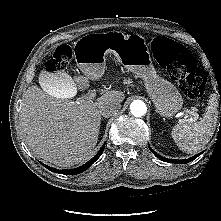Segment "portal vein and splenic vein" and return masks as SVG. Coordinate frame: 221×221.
<instances>
[{"label":"portal vein and splenic vein","mask_w":221,"mask_h":221,"mask_svg":"<svg viewBox=\"0 0 221 221\" xmlns=\"http://www.w3.org/2000/svg\"><path fill=\"white\" fill-rule=\"evenodd\" d=\"M53 92V94H55V95H59L57 92H55V91H52ZM88 95H89V97L90 98H94L95 97V94H94V92H90V93H88ZM186 115H191L192 117L189 119L190 121H194V120H197L198 118H199V115H198V113H196V112H194V111H191V110H188V109H186V110H184L183 111Z\"/></svg>","instance_id":"18ae733b"}]
</instances>
